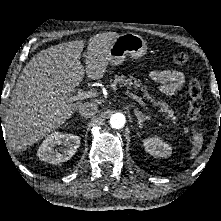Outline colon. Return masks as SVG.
Listing matches in <instances>:
<instances>
[{
  "mask_svg": "<svg viewBox=\"0 0 221 221\" xmlns=\"http://www.w3.org/2000/svg\"><path fill=\"white\" fill-rule=\"evenodd\" d=\"M173 62L178 66L186 65L188 56L183 52H177L172 57ZM189 92V118L194 122L201 121V110L203 108L202 88L196 78L188 81Z\"/></svg>",
  "mask_w": 221,
  "mask_h": 221,
  "instance_id": "obj_1",
  "label": "colon"
}]
</instances>
